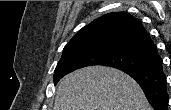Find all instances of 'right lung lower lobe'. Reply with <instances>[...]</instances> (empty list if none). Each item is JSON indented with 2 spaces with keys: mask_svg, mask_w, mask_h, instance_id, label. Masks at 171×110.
<instances>
[{
  "mask_svg": "<svg viewBox=\"0 0 171 110\" xmlns=\"http://www.w3.org/2000/svg\"><path fill=\"white\" fill-rule=\"evenodd\" d=\"M131 76L142 88L149 103L155 110H167L168 94L166 92V77L162 71V59L144 69L122 70Z\"/></svg>",
  "mask_w": 171,
  "mask_h": 110,
  "instance_id": "1",
  "label": "right lung lower lobe"
}]
</instances>
